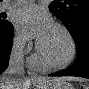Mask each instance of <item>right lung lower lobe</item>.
<instances>
[{
    "instance_id": "obj_1",
    "label": "right lung lower lobe",
    "mask_w": 89,
    "mask_h": 89,
    "mask_svg": "<svg viewBox=\"0 0 89 89\" xmlns=\"http://www.w3.org/2000/svg\"><path fill=\"white\" fill-rule=\"evenodd\" d=\"M13 43L12 24L0 31V73L6 70Z\"/></svg>"
}]
</instances>
